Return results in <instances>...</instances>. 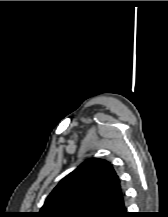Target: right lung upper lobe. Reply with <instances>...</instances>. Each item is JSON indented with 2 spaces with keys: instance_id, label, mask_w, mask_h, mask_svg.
Returning a JSON list of instances; mask_svg holds the SVG:
<instances>
[{
  "instance_id": "obj_1",
  "label": "right lung upper lobe",
  "mask_w": 168,
  "mask_h": 217,
  "mask_svg": "<svg viewBox=\"0 0 168 217\" xmlns=\"http://www.w3.org/2000/svg\"><path fill=\"white\" fill-rule=\"evenodd\" d=\"M124 205L112 165L90 159L63 178L36 217H108Z\"/></svg>"
}]
</instances>
